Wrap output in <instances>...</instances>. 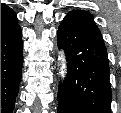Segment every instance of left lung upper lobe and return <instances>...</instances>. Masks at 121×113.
<instances>
[{
  "mask_svg": "<svg viewBox=\"0 0 121 113\" xmlns=\"http://www.w3.org/2000/svg\"><path fill=\"white\" fill-rule=\"evenodd\" d=\"M68 17H71L75 19L76 21L93 29L94 31L100 33L99 29L97 28V26L95 25L93 21V17L90 15L89 12L82 11V10H74L68 14Z\"/></svg>",
  "mask_w": 121,
  "mask_h": 113,
  "instance_id": "1",
  "label": "left lung upper lobe"
}]
</instances>
